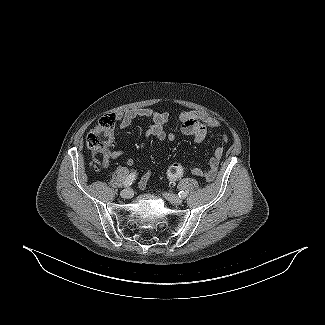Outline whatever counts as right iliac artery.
<instances>
[{"label": "right iliac artery", "mask_w": 325, "mask_h": 325, "mask_svg": "<svg viewBox=\"0 0 325 325\" xmlns=\"http://www.w3.org/2000/svg\"><path fill=\"white\" fill-rule=\"evenodd\" d=\"M136 179V173H131L124 181V186L129 187Z\"/></svg>", "instance_id": "82829eb1"}]
</instances>
